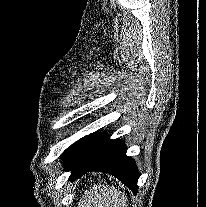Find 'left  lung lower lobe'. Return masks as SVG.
<instances>
[{
  "mask_svg": "<svg viewBox=\"0 0 206 207\" xmlns=\"http://www.w3.org/2000/svg\"><path fill=\"white\" fill-rule=\"evenodd\" d=\"M71 171L69 180H75L89 171L107 172L118 178L135 194L139 172L134 160L126 156L121 140H112L102 132L90 134L77 152L64 163Z\"/></svg>",
  "mask_w": 206,
  "mask_h": 207,
  "instance_id": "0a47b994",
  "label": "left lung lower lobe"
}]
</instances>
